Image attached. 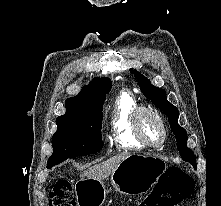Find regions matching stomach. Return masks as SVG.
I'll use <instances>...</instances> for the list:
<instances>
[{
  "instance_id": "stomach-1",
  "label": "stomach",
  "mask_w": 221,
  "mask_h": 206,
  "mask_svg": "<svg viewBox=\"0 0 221 206\" xmlns=\"http://www.w3.org/2000/svg\"><path fill=\"white\" fill-rule=\"evenodd\" d=\"M166 162L154 155H129L110 176L116 191L122 194L146 193L166 170ZM108 193L103 180L83 178L77 184L79 206H101Z\"/></svg>"
}]
</instances>
